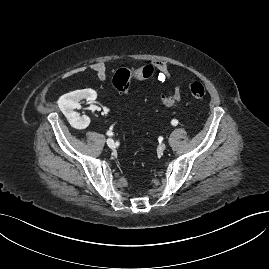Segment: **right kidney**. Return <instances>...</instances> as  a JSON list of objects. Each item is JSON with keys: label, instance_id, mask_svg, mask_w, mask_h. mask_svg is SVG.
<instances>
[{"label": "right kidney", "instance_id": "right-kidney-1", "mask_svg": "<svg viewBox=\"0 0 269 269\" xmlns=\"http://www.w3.org/2000/svg\"><path fill=\"white\" fill-rule=\"evenodd\" d=\"M97 98V93L92 89L76 90L61 96L58 100V106L70 123L80 124V128L89 125L90 119L86 116L80 117L74 109L80 108V101L86 99L87 102L93 103Z\"/></svg>", "mask_w": 269, "mask_h": 269}]
</instances>
